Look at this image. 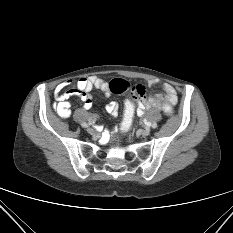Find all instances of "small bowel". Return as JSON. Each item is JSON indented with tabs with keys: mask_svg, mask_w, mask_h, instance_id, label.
<instances>
[{
	"mask_svg": "<svg viewBox=\"0 0 233 233\" xmlns=\"http://www.w3.org/2000/svg\"><path fill=\"white\" fill-rule=\"evenodd\" d=\"M158 82L156 80L148 81L150 86H155ZM70 86V87H69ZM66 87H69L65 92H62ZM98 89L104 92L106 95L111 93L110 85L107 81L91 76L87 78H81L77 81L76 85L72 86V81H66L56 86L54 92V109L62 118H69L71 116V104L69 99L73 97L80 98L84 103V109L90 110L92 108V98L90 92L93 89ZM164 96L155 98L150 96L148 100H141L137 107L136 113L138 116H142L146 108L153 106H173L177 101V93L175 88L170 84L163 85ZM106 112L113 118L118 116L119 105L117 102H109L105 106ZM96 116H91V121H95Z\"/></svg>",
	"mask_w": 233,
	"mask_h": 233,
	"instance_id": "obj_1",
	"label": "small bowel"
}]
</instances>
